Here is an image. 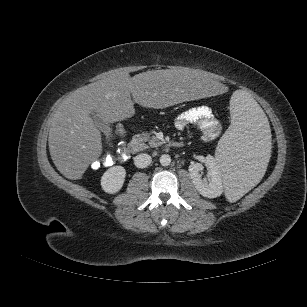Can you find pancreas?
Returning <instances> with one entry per match:
<instances>
[{"label":"pancreas","mask_w":307,"mask_h":307,"mask_svg":"<svg viewBox=\"0 0 307 307\" xmlns=\"http://www.w3.org/2000/svg\"><path fill=\"white\" fill-rule=\"evenodd\" d=\"M131 144L136 147V150L142 151L149 147H158L162 144L155 136L148 132H142L133 136Z\"/></svg>","instance_id":"cf45deb5"}]
</instances>
